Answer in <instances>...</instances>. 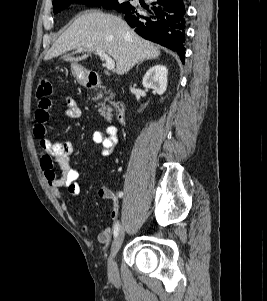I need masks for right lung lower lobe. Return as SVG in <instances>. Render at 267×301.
Segmentation results:
<instances>
[{
	"mask_svg": "<svg viewBox=\"0 0 267 301\" xmlns=\"http://www.w3.org/2000/svg\"><path fill=\"white\" fill-rule=\"evenodd\" d=\"M145 10L130 3L121 11L125 20L143 38L176 51L184 63V0H150Z\"/></svg>",
	"mask_w": 267,
	"mask_h": 301,
	"instance_id": "right-lung-lower-lobe-1",
	"label": "right lung lower lobe"
}]
</instances>
